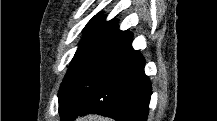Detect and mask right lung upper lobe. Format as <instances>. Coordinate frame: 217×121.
<instances>
[{
    "label": "right lung upper lobe",
    "instance_id": "right-lung-upper-lobe-1",
    "mask_svg": "<svg viewBox=\"0 0 217 121\" xmlns=\"http://www.w3.org/2000/svg\"><path fill=\"white\" fill-rule=\"evenodd\" d=\"M105 22V18L103 16L102 13H98L97 15H95L89 22L87 25L90 24H97V23H104ZM109 22H114L117 23L118 21L116 19H112Z\"/></svg>",
    "mask_w": 217,
    "mask_h": 121
}]
</instances>
